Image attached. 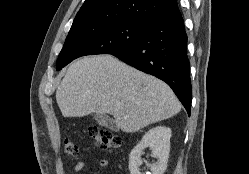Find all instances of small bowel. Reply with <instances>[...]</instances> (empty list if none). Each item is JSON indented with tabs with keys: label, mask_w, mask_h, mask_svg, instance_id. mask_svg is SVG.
<instances>
[{
	"label": "small bowel",
	"mask_w": 249,
	"mask_h": 174,
	"mask_svg": "<svg viewBox=\"0 0 249 174\" xmlns=\"http://www.w3.org/2000/svg\"><path fill=\"white\" fill-rule=\"evenodd\" d=\"M85 165H86V162H85L84 160L79 161V162L74 166V168H73V170H72V174H80V173L82 172V170L84 169ZM109 165H110V163H109V161L106 160V159H102V160H100L99 163H98V166H99L100 168H107V167H109Z\"/></svg>",
	"instance_id": "small-bowel-1"
}]
</instances>
